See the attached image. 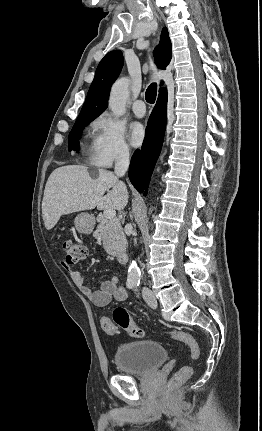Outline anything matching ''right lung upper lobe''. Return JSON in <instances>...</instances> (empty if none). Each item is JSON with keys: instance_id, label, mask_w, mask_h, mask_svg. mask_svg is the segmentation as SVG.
<instances>
[{"instance_id": "1", "label": "right lung upper lobe", "mask_w": 262, "mask_h": 431, "mask_svg": "<svg viewBox=\"0 0 262 431\" xmlns=\"http://www.w3.org/2000/svg\"><path fill=\"white\" fill-rule=\"evenodd\" d=\"M156 65L165 69L172 58L171 41L167 29L161 34L160 44L155 48ZM123 66L121 51L109 52L100 61L93 82L89 88L86 100L78 118H96L107 108V99L112 83L118 77ZM165 88H160V91Z\"/></svg>"}]
</instances>
